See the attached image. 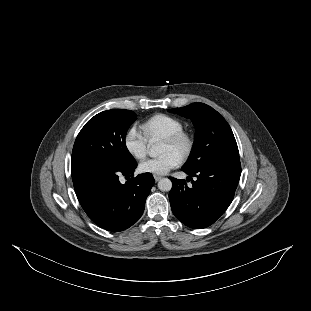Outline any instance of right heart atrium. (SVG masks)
<instances>
[{"label": "right heart atrium", "instance_id": "1", "mask_svg": "<svg viewBox=\"0 0 311 311\" xmlns=\"http://www.w3.org/2000/svg\"><path fill=\"white\" fill-rule=\"evenodd\" d=\"M126 152L135 160H143L148 153V139L136 126H130L123 136Z\"/></svg>", "mask_w": 311, "mask_h": 311}]
</instances>
